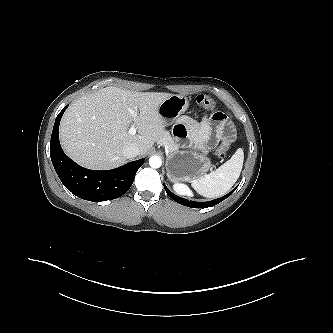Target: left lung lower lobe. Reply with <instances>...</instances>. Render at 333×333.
<instances>
[{"label": "left lung lower lobe", "instance_id": "0a47b994", "mask_svg": "<svg viewBox=\"0 0 333 333\" xmlns=\"http://www.w3.org/2000/svg\"><path fill=\"white\" fill-rule=\"evenodd\" d=\"M164 185V188L167 192V194L176 202L182 204V205H185V206H188V207H192V208H207V207H212L214 205H217L218 203L222 202L223 200H225L226 198H228L234 191L232 190L230 193H228L227 195L221 197V198H218V199H215V200H212V201H207V202H195V201H189V200H186L184 198H181L175 194H173L167 187L165 184Z\"/></svg>", "mask_w": 333, "mask_h": 333}]
</instances>
